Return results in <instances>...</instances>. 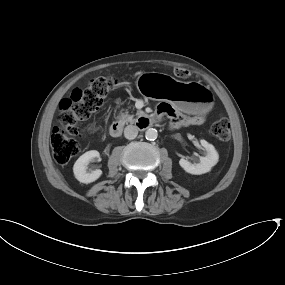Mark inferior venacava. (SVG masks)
Here are the masks:
<instances>
[{"mask_svg":"<svg viewBox=\"0 0 285 285\" xmlns=\"http://www.w3.org/2000/svg\"><path fill=\"white\" fill-rule=\"evenodd\" d=\"M137 135H138V129L136 126L128 125L127 127H125L124 129L125 138L132 140V139H135Z\"/></svg>","mask_w":285,"mask_h":285,"instance_id":"obj_1","label":"inferior vena cava"}]
</instances>
